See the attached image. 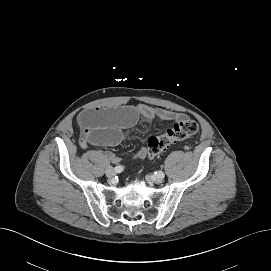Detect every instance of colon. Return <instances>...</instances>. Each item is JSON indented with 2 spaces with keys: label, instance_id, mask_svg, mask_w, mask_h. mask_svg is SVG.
I'll use <instances>...</instances> for the list:
<instances>
[{
  "label": "colon",
  "instance_id": "1",
  "mask_svg": "<svg viewBox=\"0 0 271 271\" xmlns=\"http://www.w3.org/2000/svg\"><path fill=\"white\" fill-rule=\"evenodd\" d=\"M197 130V123L190 118H184L175 122L161 135L153 136L148 139V157L154 158L170 145L191 137L197 132Z\"/></svg>",
  "mask_w": 271,
  "mask_h": 271
}]
</instances>
